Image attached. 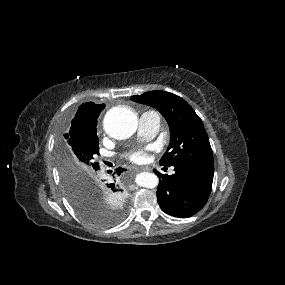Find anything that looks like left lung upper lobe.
Segmentation results:
<instances>
[{
    "label": "left lung upper lobe",
    "instance_id": "5c2ea615",
    "mask_svg": "<svg viewBox=\"0 0 285 285\" xmlns=\"http://www.w3.org/2000/svg\"><path fill=\"white\" fill-rule=\"evenodd\" d=\"M130 98L156 108L168 122L170 145L160 160L162 166H214L203 122L184 99L160 90Z\"/></svg>",
    "mask_w": 285,
    "mask_h": 285
}]
</instances>
